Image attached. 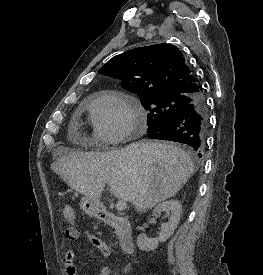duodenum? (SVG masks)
Masks as SVG:
<instances>
[{
	"instance_id": "1",
	"label": "duodenum",
	"mask_w": 263,
	"mask_h": 275,
	"mask_svg": "<svg viewBox=\"0 0 263 275\" xmlns=\"http://www.w3.org/2000/svg\"><path fill=\"white\" fill-rule=\"evenodd\" d=\"M100 219L115 228L119 245L125 254H131L134 251V237L130 222L112 212L103 210L100 213Z\"/></svg>"
}]
</instances>
